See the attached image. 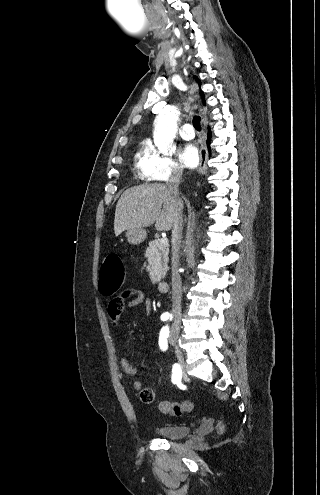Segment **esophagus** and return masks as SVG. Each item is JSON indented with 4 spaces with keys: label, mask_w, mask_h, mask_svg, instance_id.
Masks as SVG:
<instances>
[{
    "label": "esophagus",
    "mask_w": 320,
    "mask_h": 495,
    "mask_svg": "<svg viewBox=\"0 0 320 495\" xmlns=\"http://www.w3.org/2000/svg\"><path fill=\"white\" fill-rule=\"evenodd\" d=\"M207 159H208V152L206 147L202 146L200 149V163L198 167V173L203 174L206 169H207Z\"/></svg>",
    "instance_id": "obj_1"
}]
</instances>
